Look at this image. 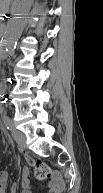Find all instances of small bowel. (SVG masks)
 Masks as SVG:
<instances>
[{"label":"small bowel","mask_w":103,"mask_h":193,"mask_svg":"<svg viewBox=\"0 0 103 193\" xmlns=\"http://www.w3.org/2000/svg\"><path fill=\"white\" fill-rule=\"evenodd\" d=\"M0 184L3 193H5L9 184V174L5 171L0 174ZM22 187V193H33L30 183V172L27 168H25L22 172ZM63 187L64 182L61 176L55 173L47 184L46 193H61ZM10 193H18V186L16 184L11 185Z\"/></svg>","instance_id":"c3829d8e"}]
</instances>
